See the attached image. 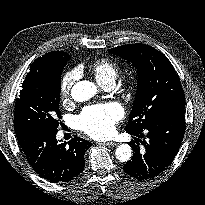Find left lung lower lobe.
I'll return each mask as SVG.
<instances>
[{
  "label": "left lung lower lobe",
  "instance_id": "left-lung-lower-lobe-1",
  "mask_svg": "<svg viewBox=\"0 0 205 205\" xmlns=\"http://www.w3.org/2000/svg\"><path fill=\"white\" fill-rule=\"evenodd\" d=\"M127 133L138 138H135L137 145L134 141L129 143L134 153L123 170L137 179L154 178L172 163L179 151L185 133L184 109L167 113L140 131ZM139 142L144 145L143 150Z\"/></svg>",
  "mask_w": 205,
  "mask_h": 205
}]
</instances>
